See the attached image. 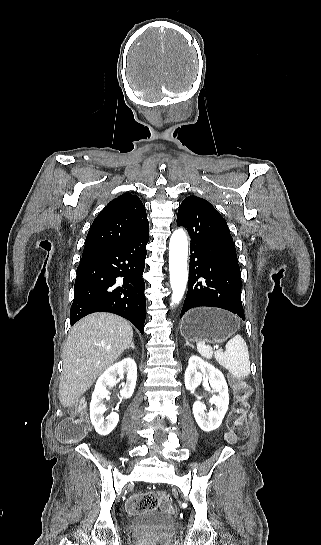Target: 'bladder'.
I'll list each match as a JSON object with an SVG mask.
<instances>
[{"instance_id": "bladder-1", "label": "bladder", "mask_w": 321, "mask_h": 545, "mask_svg": "<svg viewBox=\"0 0 321 545\" xmlns=\"http://www.w3.org/2000/svg\"><path fill=\"white\" fill-rule=\"evenodd\" d=\"M174 521L171 516L158 511H143L135 514L129 521V530L132 534L143 535L169 531Z\"/></svg>"}]
</instances>
